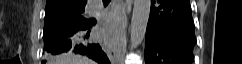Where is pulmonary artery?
Listing matches in <instances>:
<instances>
[{
  "label": "pulmonary artery",
  "mask_w": 242,
  "mask_h": 64,
  "mask_svg": "<svg viewBox=\"0 0 242 64\" xmlns=\"http://www.w3.org/2000/svg\"><path fill=\"white\" fill-rule=\"evenodd\" d=\"M98 8H99V7H98V6H96L94 9H96V10H97Z\"/></svg>",
  "instance_id": "pulmonary-artery-1"
}]
</instances>
